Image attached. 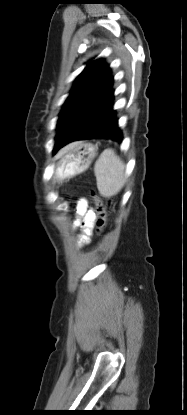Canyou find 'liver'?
I'll return each mask as SVG.
<instances>
[{"instance_id":"6515ba94","label":"liver","mask_w":187,"mask_h":415,"mask_svg":"<svg viewBox=\"0 0 187 415\" xmlns=\"http://www.w3.org/2000/svg\"><path fill=\"white\" fill-rule=\"evenodd\" d=\"M71 145H69V146H67L64 150H67V149H69V147H70Z\"/></svg>"}]
</instances>
